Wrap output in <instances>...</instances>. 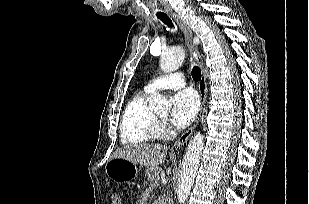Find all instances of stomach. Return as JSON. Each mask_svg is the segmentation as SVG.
<instances>
[{
  "label": "stomach",
  "instance_id": "0dacf381",
  "mask_svg": "<svg viewBox=\"0 0 309 204\" xmlns=\"http://www.w3.org/2000/svg\"><path fill=\"white\" fill-rule=\"evenodd\" d=\"M107 176L116 182H129L138 176L137 164L123 158H112L106 166Z\"/></svg>",
  "mask_w": 309,
  "mask_h": 204
}]
</instances>
